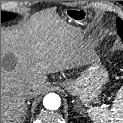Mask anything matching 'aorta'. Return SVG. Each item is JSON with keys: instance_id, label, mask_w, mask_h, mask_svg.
Returning a JSON list of instances; mask_svg holds the SVG:
<instances>
[{"instance_id": "aorta-1", "label": "aorta", "mask_w": 123, "mask_h": 123, "mask_svg": "<svg viewBox=\"0 0 123 123\" xmlns=\"http://www.w3.org/2000/svg\"><path fill=\"white\" fill-rule=\"evenodd\" d=\"M61 99L55 93L47 94L43 99V105L48 110H57L60 107Z\"/></svg>"}]
</instances>
